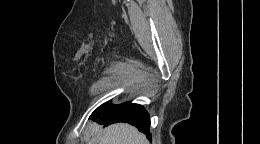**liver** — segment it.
I'll return each instance as SVG.
<instances>
[{
  "label": "liver",
  "mask_w": 260,
  "mask_h": 144,
  "mask_svg": "<svg viewBox=\"0 0 260 144\" xmlns=\"http://www.w3.org/2000/svg\"><path fill=\"white\" fill-rule=\"evenodd\" d=\"M91 136L96 144H148L143 134L125 123L113 124L105 129L95 124L91 129Z\"/></svg>",
  "instance_id": "6515ba94"
}]
</instances>
